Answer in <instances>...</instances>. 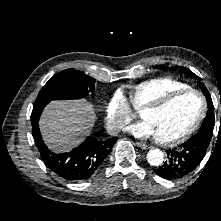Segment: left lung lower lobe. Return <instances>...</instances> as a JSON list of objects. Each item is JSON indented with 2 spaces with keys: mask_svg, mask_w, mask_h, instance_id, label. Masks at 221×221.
I'll list each match as a JSON object with an SVG mask.
<instances>
[{
  "mask_svg": "<svg viewBox=\"0 0 221 221\" xmlns=\"http://www.w3.org/2000/svg\"><path fill=\"white\" fill-rule=\"evenodd\" d=\"M208 137L196 134L178 148L167 152V161L155 169L157 175L167 180H175L193 172L204 158Z\"/></svg>",
  "mask_w": 221,
  "mask_h": 221,
  "instance_id": "left-lung-lower-lobe-1",
  "label": "left lung lower lobe"
}]
</instances>
